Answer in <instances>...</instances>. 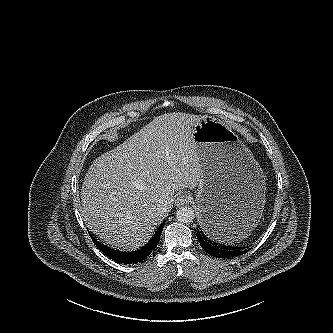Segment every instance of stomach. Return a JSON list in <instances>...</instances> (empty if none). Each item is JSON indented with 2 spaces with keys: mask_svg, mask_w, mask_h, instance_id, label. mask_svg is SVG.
<instances>
[{
  "mask_svg": "<svg viewBox=\"0 0 333 333\" xmlns=\"http://www.w3.org/2000/svg\"><path fill=\"white\" fill-rule=\"evenodd\" d=\"M193 140L202 173L196 194L200 226L223 244H237L262 215L264 173L238 135L217 118L201 120Z\"/></svg>",
  "mask_w": 333,
  "mask_h": 333,
  "instance_id": "0dacf381",
  "label": "stomach"
}]
</instances>
